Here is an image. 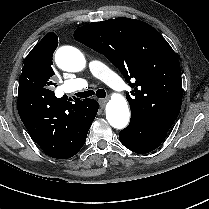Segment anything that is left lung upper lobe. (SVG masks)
Instances as JSON below:
<instances>
[{"instance_id":"5c2ea615","label":"left lung upper lobe","mask_w":209,"mask_h":209,"mask_svg":"<svg viewBox=\"0 0 209 209\" xmlns=\"http://www.w3.org/2000/svg\"><path fill=\"white\" fill-rule=\"evenodd\" d=\"M74 38L106 56L133 91L126 98L135 115L168 131L182 104L179 60L162 35L149 24L119 17L79 27Z\"/></svg>"}]
</instances>
